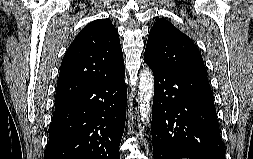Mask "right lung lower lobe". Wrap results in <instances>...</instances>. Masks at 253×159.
<instances>
[{
	"mask_svg": "<svg viewBox=\"0 0 253 159\" xmlns=\"http://www.w3.org/2000/svg\"><path fill=\"white\" fill-rule=\"evenodd\" d=\"M125 69L55 106L44 159H120Z\"/></svg>",
	"mask_w": 253,
	"mask_h": 159,
	"instance_id": "1",
	"label": "right lung lower lobe"
}]
</instances>
